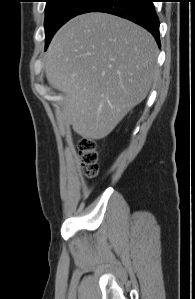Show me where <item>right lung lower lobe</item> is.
I'll return each instance as SVG.
<instances>
[{
  "label": "right lung lower lobe",
  "instance_id": "1",
  "mask_svg": "<svg viewBox=\"0 0 195 299\" xmlns=\"http://www.w3.org/2000/svg\"><path fill=\"white\" fill-rule=\"evenodd\" d=\"M105 12L128 19L148 30L160 47L159 20L152 0H90L79 14Z\"/></svg>",
  "mask_w": 195,
  "mask_h": 299
}]
</instances>
